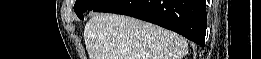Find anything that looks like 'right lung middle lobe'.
<instances>
[{
  "instance_id": "right-lung-middle-lobe-1",
  "label": "right lung middle lobe",
  "mask_w": 261,
  "mask_h": 59,
  "mask_svg": "<svg viewBox=\"0 0 261 59\" xmlns=\"http://www.w3.org/2000/svg\"><path fill=\"white\" fill-rule=\"evenodd\" d=\"M107 0H77L74 5V11L80 19H83V13L88 10H94Z\"/></svg>"
}]
</instances>
